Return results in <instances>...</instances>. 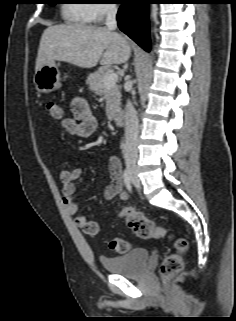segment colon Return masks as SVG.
<instances>
[{
	"mask_svg": "<svg viewBox=\"0 0 236 321\" xmlns=\"http://www.w3.org/2000/svg\"><path fill=\"white\" fill-rule=\"evenodd\" d=\"M46 109L52 120L58 122L62 119V107L54 101L46 104ZM120 216L124 217L128 227L140 239L163 238L166 236V229L158 226L153 220L132 208H124L120 211ZM187 242L182 238L174 240L175 252L167 255L161 263L160 275L164 281H170L177 277L183 270L182 254L187 249ZM109 247L117 253H126L130 249V244L126 239L113 238Z\"/></svg>",
	"mask_w": 236,
	"mask_h": 321,
	"instance_id": "obj_1",
	"label": "colon"
}]
</instances>
